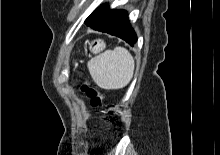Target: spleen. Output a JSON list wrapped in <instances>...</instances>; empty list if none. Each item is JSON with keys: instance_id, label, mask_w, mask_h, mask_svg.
<instances>
[{"instance_id": "obj_1", "label": "spleen", "mask_w": 220, "mask_h": 155, "mask_svg": "<svg viewBox=\"0 0 220 155\" xmlns=\"http://www.w3.org/2000/svg\"><path fill=\"white\" fill-rule=\"evenodd\" d=\"M93 81L102 89L118 90L129 84L134 73V59L130 52L117 46L92 58L88 64Z\"/></svg>"}]
</instances>
